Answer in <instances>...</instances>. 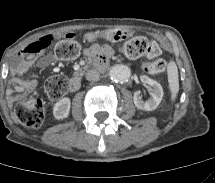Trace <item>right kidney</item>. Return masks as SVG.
<instances>
[{
    "label": "right kidney",
    "mask_w": 215,
    "mask_h": 183,
    "mask_svg": "<svg viewBox=\"0 0 215 183\" xmlns=\"http://www.w3.org/2000/svg\"><path fill=\"white\" fill-rule=\"evenodd\" d=\"M71 101L68 97H64L55 103L53 107V115L56 119L67 118L70 112Z\"/></svg>",
    "instance_id": "right-kidney-1"
}]
</instances>
